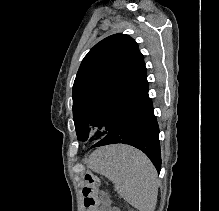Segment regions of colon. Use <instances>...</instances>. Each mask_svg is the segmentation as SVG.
<instances>
[{
  "mask_svg": "<svg viewBox=\"0 0 219 211\" xmlns=\"http://www.w3.org/2000/svg\"><path fill=\"white\" fill-rule=\"evenodd\" d=\"M85 188L83 190L85 196V206L87 211H97L100 204V178L90 171L84 175Z\"/></svg>",
  "mask_w": 219,
  "mask_h": 211,
  "instance_id": "1",
  "label": "colon"
}]
</instances>
